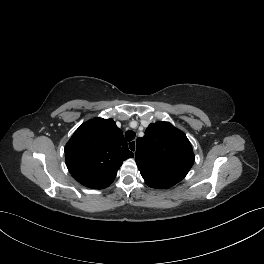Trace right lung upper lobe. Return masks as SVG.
I'll use <instances>...</instances> for the list:
<instances>
[{
  "label": "right lung upper lobe",
  "mask_w": 264,
  "mask_h": 264,
  "mask_svg": "<svg viewBox=\"0 0 264 264\" xmlns=\"http://www.w3.org/2000/svg\"><path fill=\"white\" fill-rule=\"evenodd\" d=\"M133 156L112 119L94 118L83 123L65 146L69 172L92 189L108 187L122 162Z\"/></svg>",
  "instance_id": "obj_1"
}]
</instances>
